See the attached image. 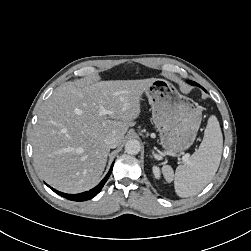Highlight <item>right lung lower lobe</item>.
<instances>
[{"mask_svg": "<svg viewBox=\"0 0 251 251\" xmlns=\"http://www.w3.org/2000/svg\"><path fill=\"white\" fill-rule=\"evenodd\" d=\"M112 169H113V164H112L109 172L105 176V178L95 188H93V189H91L89 191L80 193V194H66V193L59 192V191H57L56 189H53L50 186H48V187L50 189H52L58 195L66 198V199L72 200V201H85V200H89V199L95 197L101 191V189L103 188L104 184L108 180V178H109V176L111 174Z\"/></svg>", "mask_w": 251, "mask_h": 251, "instance_id": "98d812e1", "label": "right lung lower lobe"}]
</instances>
